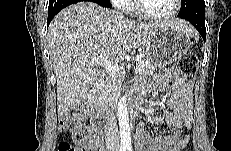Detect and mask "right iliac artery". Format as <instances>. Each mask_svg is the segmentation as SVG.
Segmentation results:
<instances>
[{
  "label": "right iliac artery",
  "mask_w": 231,
  "mask_h": 151,
  "mask_svg": "<svg viewBox=\"0 0 231 151\" xmlns=\"http://www.w3.org/2000/svg\"><path fill=\"white\" fill-rule=\"evenodd\" d=\"M126 149H127L126 146H121L120 147V151H126Z\"/></svg>",
  "instance_id": "obj_1"
}]
</instances>
